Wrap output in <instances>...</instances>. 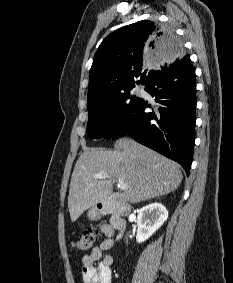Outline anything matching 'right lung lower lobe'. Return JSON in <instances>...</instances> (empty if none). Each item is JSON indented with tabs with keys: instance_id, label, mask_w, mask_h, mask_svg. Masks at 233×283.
Masks as SVG:
<instances>
[{
	"instance_id": "obj_1",
	"label": "right lung lower lobe",
	"mask_w": 233,
	"mask_h": 283,
	"mask_svg": "<svg viewBox=\"0 0 233 283\" xmlns=\"http://www.w3.org/2000/svg\"><path fill=\"white\" fill-rule=\"evenodd\" d=\"M155 97L152 107L143 99L115 130L112 138L130 135L139 143L175 160L189 174L194 141L196 80L189 55L157 75L145 87ZM153 108L152 112L144 110Z\"/></svg>"
}]
</instances>
